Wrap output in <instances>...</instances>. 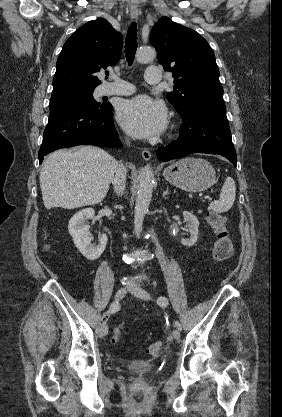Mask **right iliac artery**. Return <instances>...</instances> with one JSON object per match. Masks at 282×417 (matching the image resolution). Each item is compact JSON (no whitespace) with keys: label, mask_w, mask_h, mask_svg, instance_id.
<instances>
[{"label":"right iliac artery","mask_w":282,"mask_h":417,"mask_svg":"<svg viewBox=\"0 0 282 417\" xmlns=\"http://www.w3.org/2000/svg\"><path fill=\"white\" fill-rule=\"evenodd\" d=\"M119 308H120V304H119V302H118V301H115V302H113V303L110 305L109 310L107 311V313H108V314L115 313V312H117V311L119 310Z\"/></svg>","instance_id":"obj_1"}]
</instances>
